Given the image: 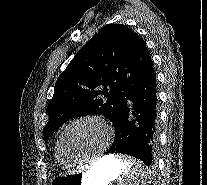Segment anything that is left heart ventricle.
Returning a JSON list of instances; mask_svg holds the SVG:
<instances>
[{
	"label": "left heart ventricle",
	"instance_id": "1",
	"mask_svg": "<svg viewBox=\"0 0 207 185\" xmlns=\"http://www.w3.org/2000/svg\"><path fill=\"white\" fill-rule=\"evenodd\" d=\"M109 138L104 126L92 120L73 125L65 136V147L75 158L83 157L102 150Z\"/></svg>",
	"mask_w": 207,
	"mask_h": 185
}]
</instances>
